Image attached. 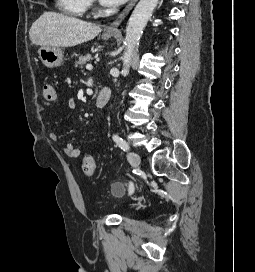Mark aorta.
I'll list each match as a JSON object with an SVG mask.
<instances>
[{"instance_id":"762f6f07","label":"aorta","mask_w":255,"mask_h":272,"mask_svg":"<svg viewBox=\"0 0 255 272\" xmlns=\"http://www.w3.org/2000/svg\"><path fill=\"white\" fill-rule=\"evenodd\" d=\"M158 1L159 0H140L129 18L124 41L125 51L121 58L123 62L122 74H127L129 71L134 50L139 43L143 30L152 16Z\"/></svg>"}]
</instances>
